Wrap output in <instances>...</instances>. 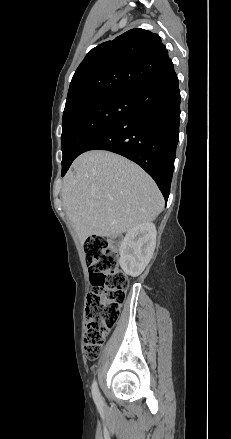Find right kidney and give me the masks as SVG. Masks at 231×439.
Returning a JSON list of instances; mask_svg holds the SVG:
<instances>
[{
	"instance_id": "obj_1",
	"label": "right kidney",
	"mask_w": 231,
	"mask_h": 439,
	"mask_svg": "<svg viewBox=\"0 0 231 439\" xmlns=\"http://www.w3.org/2000/svg\"><path fill=\"white\" fill-rule=\"evenodd\" d=\"M156 227L153 223L140 224L129 230L120 246L119 264L123 271L136 277L140 275L156 246Z\"/></svg>"
}]
</instances>
